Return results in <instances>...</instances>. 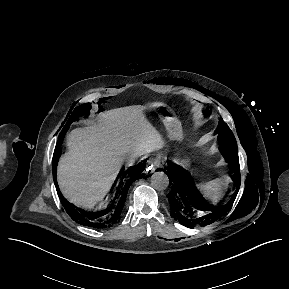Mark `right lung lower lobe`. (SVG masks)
<instances>
[{
  "mask_svg": "<svg viewBox=\"0 0 289 289\" xmlns=\"http://www.w3.org/2000/svg\"><path fill=\"white\" fill-rule=\"evenodd\" d=\"M66 131L67 129L64 128L59 134L52 164L54 183L58 195L61 199L62 205L65 208L66 212L71 216V218L81 225L93 228L112 227L120 220L122 209L124 207V202L126 200L127 192L130 185L135 180L142 178L145 161L144 163H139L138 165L124 171L123 176L120 178V180H118L116 184L114 194L103 209L97 211H85L79 209L64 199L58 188L56 180V166L58 163V159L61 155L60 148Z\"/></svg>",
  "mask_w": 289,
  "mask_h": 289,
  "instance_id": "98d812e1",
  "label": "right lung lower lobe"
}]
</instances>
